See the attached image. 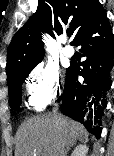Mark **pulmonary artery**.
I'll return each mask as SVG.
<instances>
[{"label": "pulmonary artery", "mask_w": 114, "mask_h": 156, "mask_svg": "<svg viewBox=\"0 0 114 156\" xmlns=\"http://www.w3.org/2000/svg\"><path fill=\"white\" fill-rule=\"evenodd\" d=\"M62 53L66 57H72L74 54V49L69 45H64L62 48Z\"/></svg>", "instance_id": "obj_1"}]
</instances>
